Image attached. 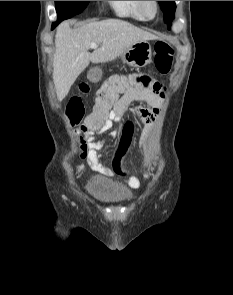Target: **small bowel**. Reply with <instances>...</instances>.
Listing matches in <instances>:
<instances>
[{"mask_svg": "<svg viewBox=\"0 0 233 295\" xmlns=\"http://www.w3.org/2000/svg\"><path fill=\"white\" fill-rule=\"evenodd\" d=\"M133 101H142L148 106L130 108V104ZM162 101L163 99L161 96L152 93H143L136 96H124L114 103V106L109 112L104 123L99 128L95 129V131L98 133L107 132L112 128L114 123L120 122L122 118L128 114L133 115L146 123L153 122L159 115V108ZM85 132L87 134V138L77 136L81 149L80 157L86 160L87 166L94 171L108 173V168L104 167L100 162L101 155L98 153V150L101 148V144L94 142V131L91 130ZM149 175L150 172H147L145 174V178H148ZM129 184L134 188H138L140 186V181L137 178H131L129 180Z\"/></svg>", "mask_w": 233, "mask_h": 295, "instance_id": "obj_1", "label": "small bowel"}]
</instances>
